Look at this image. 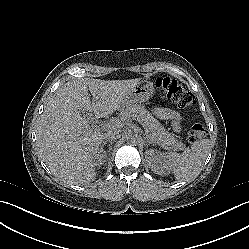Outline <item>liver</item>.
I'll return each mask as SVG.
<instances>
[{"label": "liver", "mask_w": 249, "mask_h": 249, "mask_svg": "<svg viewBox=\"0 0 249 249\" xmlns=\"http://www.w3.org/2000/svg\"><path fill=\"white\" fill-rule=\"evenodd\" d=\"M134 85L74 80L63 86L39 123L37 146L43 161L50 167L74 174L78 180H94V158L103 133L90 125V116L102 118L112 114L126 103ZM105 127L107 131L117 128L110 124Z\"/></svg>", "instance_id": "1"}]
</instances>
